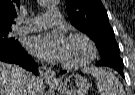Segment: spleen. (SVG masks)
Returning <instances> with one entry per match:
<instances>
[{
    "instance_id": "3e777b00",
    "label": "spleen",
    "mask_w": 135,
    "mask_h": 95,
    "mask_svg": "<svg viewBox=\"0 0 135 95\" xmlns=\"http://www.w3.org/2000/svg\"><path fill=\"white\" fill-rule=\"evenodd\" d=\"M82 71L96 79L99 95H125L122 84L111 71L96 66L84 67Z\"/></svg>"
}]
</instances>
